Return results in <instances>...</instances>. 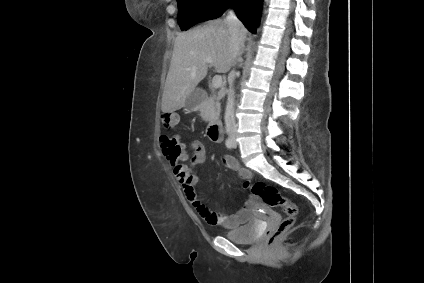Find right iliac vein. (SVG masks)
<instances>
[{
	"label": "right iliac vein",
	"instance_id": "1",
	"mask_svg": "<svg viewBox=\"0 0 424 283\" xmlns=\"http://www.w3.org/2000/svg\"><path fill=\"white\" fill-rule=\"evenodd\" d=\"M231 139H232V140H234V139H235V137H234V136H231Z\"/></svg>",
	"mask_w": 424,
	"mask_h": 283
}]
</instances>
